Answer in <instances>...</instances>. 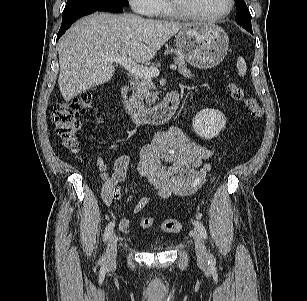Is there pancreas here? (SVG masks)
<instances>
[{
  "instance_id": "obj_1",
  "label": "pancreas",
  "mask_w": 307,
  "mask_h": 301,
  "mask_svg": "<svg viewBox=\"0 0 307 301\" xmlns=\"http://www.w3.org/2000/svg\"><path fill=\"white\" fill-rule=\"evenodd\" d=\"M173 61L178 65V72L186 78H192V72L187 68L182 57H175ZM156 67V63H153ZM155 85L152 78L136 77L132 81L133 97L140 102H145L147 105H152L157 100V93L155 92Z\"/></svg>"
}]
</instances>
